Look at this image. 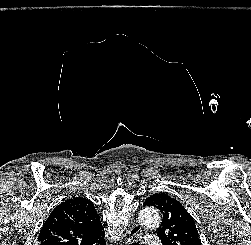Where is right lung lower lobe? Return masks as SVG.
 <instances>
[{
    "mask_svg": "<svg viewBox=\"0 0 251 245\" xmlns=\"http://www.w3.org/2000/svg\"><path fill=\"white\" fill-rule=\"evenodd\" d=\"M103 236H104V234H103L96 242H94V243L100 244V245H106ZM94 243H93V244H94ZM93 244H92V245H93Z\"/></svg>",
    "mask_w": 251,
    "mask_h": 245,
    "instance_id": "right-lung-lower-lobe-1",
    "label": "right lung lower lobe"
}]
</instances>
